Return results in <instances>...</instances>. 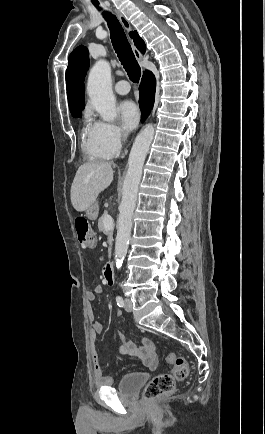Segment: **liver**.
<instances>
[{"label":"liver","mask_w":265,"mask_h":434,"mask_svg":"<svg viewBox=\"0 0 265 434\" xmlns=\"http://www.w3.org/2000/svg\"><path fill=\"white\" fill-rule=\"evenodd\" d=\"M112 162L82 164L71 186V202L77 212H85L95 202L100 192L113 180Z\"/></svg>","instance_id":"liver-1"}]
</instances>
